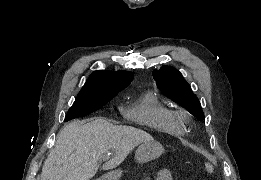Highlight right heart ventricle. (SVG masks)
<instances>
[{
	"instance_id": "obj_1",
	"label": "right heart ventricle",
	"mask_w": 261,
	"mask_h": 180,
	"mask_svg": "<svg viewBox=\"0 0 261 180\" xmlns=\"http://www.w3.org/2000/svg\"><path fill=\"white\" fill-rule=\"evenodd\" d=\"M120 121H139L142 131L163 133V138H138L155 139V142H179L186 135L183 123L172 117V109L161 100L154 91H147L138 98L123 103L120 107Z\"/></svg>"
}]
</instances>
